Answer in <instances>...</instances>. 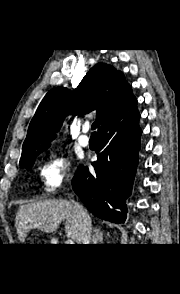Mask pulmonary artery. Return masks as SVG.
<instances>
[{"instance_id": "obj_1", "label": "pulmonary artery", "mask_w": 180, "mask_h": 294, "mask_svg": "<svg viewBox=\"0 0 180 294\" xmlns=\"http://www.w3.org/2000/svg\"><path fill=\"white\" fill-rule=\"evenodd\" d=\"M89 128H90L89 124L84 125V128H83L84 132H87L89 130ZM89 143H90V138L88 136H86L85 134H83L79 137V144L81 146L86 147L89 145Z\"/></svg>"}]
</instances>
